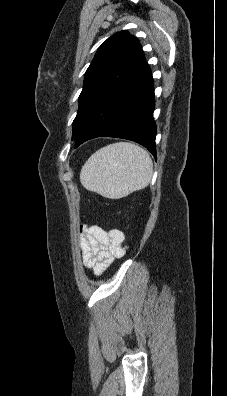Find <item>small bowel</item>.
<instances>
[{
	"label": "small bowel",
	"instance_id": "1",
	"mask_svg": "<svg viewBox=\"0 0 227 396\" xmlns=\"http://www.w3.org/2000/svg\"><path fill=\"white\" fill-rule=\"evenodd\" d=\"M125 236L117 229L109 231L99 226H83L80 229V248L85 267L95 275H101L115 259L125 254Z\"/></svg>",
	"mask_w": 227,
	"mask_h": 396
}]
</instances>
